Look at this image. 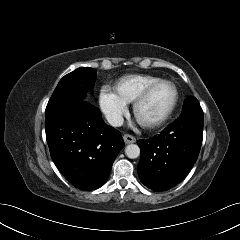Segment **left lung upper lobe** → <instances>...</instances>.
Returning a JSON list of instances; mask_svg holds the SVG:
<instances>
[{"mask_svg":"<svg viewBox=\"0 0 240 240\" xmlns=\"http://www.w3.org/2000/svg\"><path fill=\"white\" fill-rule=\"evenodd\" d=\"M199 105L200 104L195 97L189 96L185 99L182 109H185V108L191 107V106H199Z\"/></svg>","mask_w":240,"mask_h":240,"instance_id":"1","label":"left lung upper lobe"}]
</instances>
